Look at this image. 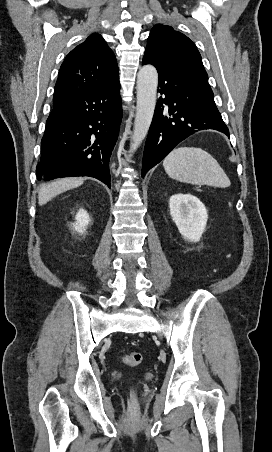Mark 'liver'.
I'll return each mask as SVG.
<instances>
[{"label": "liver", "instance_id": "liver-1", "mask_svg": "<svg viewBox=\"0 0 272 452\" xmlns=\"http://www.w3.org/2000/svg\"><path fill=\"white\" fill-rule=\"evenodd\" d=\"M83 181L82 178H63L42 186L38 193L39 205H45L60 193L80 186Z\"/></svg>", "mask_w": 272, "mask_h": 452}]
</instances>
